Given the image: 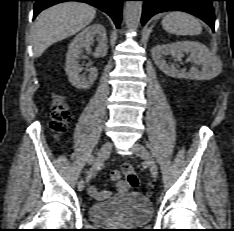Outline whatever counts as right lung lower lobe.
I'll list each match as a JSON object with an SVG mask.
<instances>
[{
  "label": "right lung lower lobe",
  "mask_w": 234,
  "mask_h": 231,
  "mask_svg": "<svg viewBox=\"0 0 234 231\" xmlns=\"http://www.w3.org/2000/svg\"><path fill=\"white\" fill-rule=\"evenodd\" d=\"M34 18L40 13L42 10L55 5L57 3L65 2V1H80L88 3L98 9L107 13L116 24V27L120 26L121 22V13H122V2L124 0H34Z\"/></svg>",
  "instance_id": "1"
}]
</instances>
